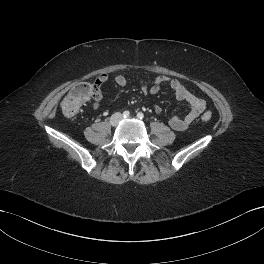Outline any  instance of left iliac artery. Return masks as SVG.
<instances>
[{
	"label": "left iliac artery",
	"mask_w": 264,
	"mask_h": 264,
	"mask_svg": "<svg viewBox=\"0 0 264 264\" xmlns=\"http://www.w3.org/2000/svg\"><path fill=\"white\" fill-rule=\"evenodd\" d=\"M137 117H138L139 119H143V118H144V114H143L142 112H139V113L137 114Z\"/></svg>",
	"instance_id": "obj_1"
}]
</instances>
